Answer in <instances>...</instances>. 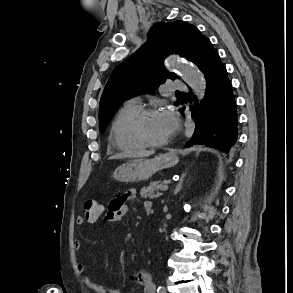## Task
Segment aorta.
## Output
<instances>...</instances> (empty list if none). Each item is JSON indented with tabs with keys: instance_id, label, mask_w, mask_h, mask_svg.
<instances>
[{
	"instance_id": "1",
	"label": "aorta",
	"mask_w": 293,
	"mask_h": 293,
	"mask_svg": "<svg viewBox=\"0 0 293 293\" xmlns=\"http://www.w3.org/2000/svg\"><path fill=\"white\" fill-rule=\"evenodd\" d=\"M167 66L170 69L177 70L182 79L192 88L198 98H203L206 90V82L195 65L177 56H171L167 59Z\"/></svg>"
}]
</instances>
